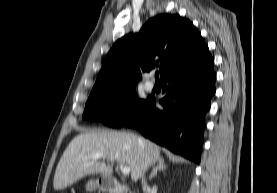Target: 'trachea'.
<instances>
[{"label":"trachea","instance_id":"1","mask_svg":"<svg viewBox=\"0 0 277 193\" xmlns=\"http://www.w3.org/2000/svg\"><path fill=\"white\" fill-rule=\"evenodd\" d=\"M155 77H156V78L159 77V73H158V72L155 73Z\"/></svg>","mask_w":277,"mask_h":193}]
</instances>
